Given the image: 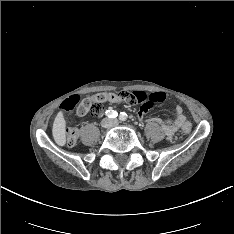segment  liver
<instances>
[{
	"label": "liver",
	"instance_id": "liver-1",
	"mask_svg": "<svg viewBox=\"0 0 234 234\" xmlns=\"http://www.w3.org/2000/svg\"><path fill=\"white\" fill-rule=\"evenodd\" d=\"M52 134L55 142L59 146H64L66 143V121L63 116V112L60 111L55 117Z\"/></svg>",
	"mask_w": 234,
	"mask_h": 234
}]
</instances>
